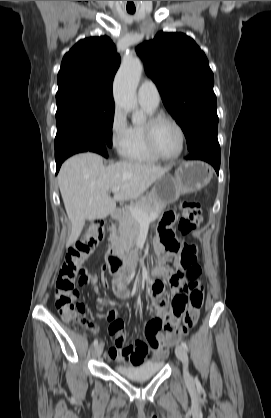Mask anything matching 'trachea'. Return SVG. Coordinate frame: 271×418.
I'll return each mask as SVG.
<instances>
[{
    "mask_svg": "<svg viewBox=\"0 0 271 418\" xmlns=\"http://www.w3.org/2000/svg\"><path fill=\"white\" fill-rule=\"evenodd\" d=\"M127 11H128V13H130V14H134V13H135V9H128Z\"/></svg>",
    "mask_w": 271,
    "mask_h": 418,
    "instance_id": "3493384b",
    "label": "trachea"
}]
</instances>
